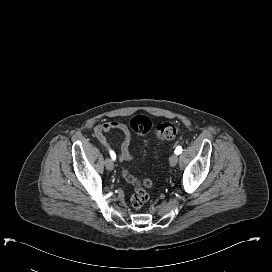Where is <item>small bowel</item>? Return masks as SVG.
Instances as JSON below:
<instances>
[{"label": "small bowel", "instance_id": "1", "mask_svg": "<svg viewBox=\"0 0 272 272\" xmlns=\"http://www.w3.org/2000/svg\"><path fill=\"white\" fill-rule=\"evenodd\" d=\"M111 131H120L124 136L118 153V159L120 161L130 160L131 154L129 151V145L131 133L126 124L119 121H110L99 124L94 128L97 140L106 147H110V140L108 139L107 134Z\"/></svg>", "mask_w": 272, "mask_h": 272}]
</instances>
